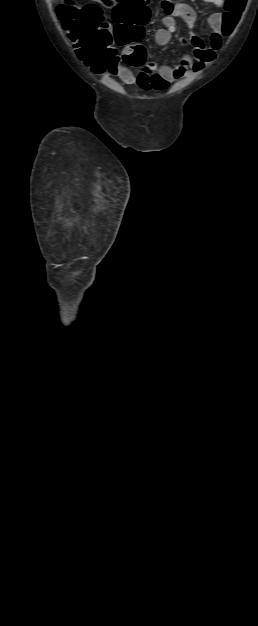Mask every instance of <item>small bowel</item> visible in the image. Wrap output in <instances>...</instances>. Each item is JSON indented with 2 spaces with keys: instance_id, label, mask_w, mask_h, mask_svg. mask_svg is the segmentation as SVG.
<instances>
[{
  "instance_id": "1",
  "label": "small bowel",
  "mask_w": 258,
  "mask_h": 626,
  "mask_svg": "<svg viewBox=\"0 0 258 626\" xmlns=\"http://www.w3.org/2000/svg\"><path fill=\"white\" fill-rule=\"evenodd\" d=\"M203 1L211 3L218 8L225 5V0ZM160 8L164 13L162 18L163 27L156 30L155 41L158 45L165 46L170 42L172 34L177 29L176 20H183L191 28L196 21L197 14L190 5L171 0H161ZM207 22L211 28L208 34V43L205 44L196 35L189 36L187 41L192 47V54L184 56L180 64L176 66L149 63L145 69L139 73H134L117 58L109 64L107 69L123 83L135 85L141 90H166L173 82L200 71L216 58L223 39V14L219 12L213 13L208 17Z\"/></svg>"
}]
</instances>
